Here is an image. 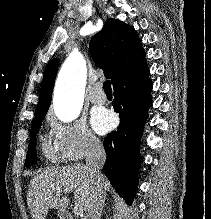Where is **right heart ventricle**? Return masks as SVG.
Returning a JSON list of instances; mask_svg holds the SVG:
<instances>
[{"instance_id":"1","label":"right heart ventricle","mask_w":211,"mask_h":219,"mask_svg":"<svg viewBox=\"0 0 211 219\" xmlns=\"http://www.w3.org/2000/svg\"><path fill=\"white\" fill-rule=\"evenodd\" d=\"M42 152L43 155L50 161L55 162L58 160L57 150L55 149V147H53L50 143L46 141L42 143Z\"/></svg>"}]
</instances>
